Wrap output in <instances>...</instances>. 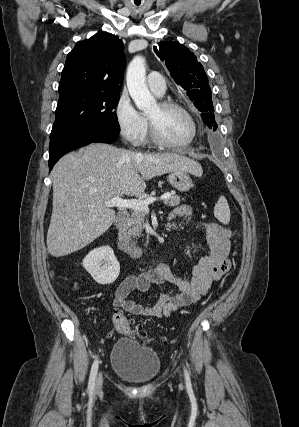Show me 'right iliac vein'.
Listing matches in <instances>:
<instances>
[{"mask_svg": "<svg viewBox=\"0 0 299 427\" xmlns=\"http://www.w3.org/2000/svg\"><path fill=\"white\" fill-rule=\"evenodd\" d=\"M102 385H103V376H102V373H99L96 380L95 390L99 391L102 388Z\"/></svg>", "mask_w": 299, "mask_h": 427, "instance_id": "1", "label": "right iliac vein"}]
</instances>
